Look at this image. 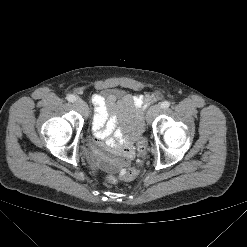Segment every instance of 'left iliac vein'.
Instances as JSON below:
<instances>
[{"instance_id": "1", "label": "left iliac vein", "mask_w": 247, "mask_h": 247, "mask_svg": "<svg viewBox=\"0 0 247 247\" xmlns=\"http://www.w3.org/2000/svg\"><path fill=\"white\" fill-rule=\"evenodd\" d=\"M161 107L159 105H154L152 106L146 114V120L148 122H151L153 120V118L160 112Z\"/></svg>"}]
</instances>
